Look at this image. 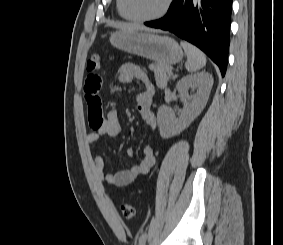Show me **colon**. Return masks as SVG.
Masks as SVG:
<instances>
[{"instance_id":"1","label":"colon","mask_w":283,"mask_h":245,"mask_svg":"<svg viewBox=\"0 0 283 245\" xmlns=\"http://www.w3.org/2000/svg\"><path fill=\"white\" fill-rule=\"evenodd\" d=\"M102 59L99 55H93L87 62V70L90 73L98 71L101 67ZM121 212L124 218L132 219L136 215V210L131 204H122Z\"/></svg>"}]
</instances>
